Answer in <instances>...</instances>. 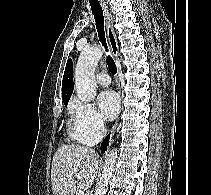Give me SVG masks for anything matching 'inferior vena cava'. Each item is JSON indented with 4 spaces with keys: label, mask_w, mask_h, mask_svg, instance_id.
Masks as SVG:
<instances>
[{
    "label": "inferior vena cava",
    "mask_w": 211,
    "mask_h": 195,
    "mask_svg": "<svg viewBox=\"0 0 211 195\" xmlns=\"http://www.w3.org/2000/svg\"><path fill=\"white\" fill-rule=\"evenodd\" d=\"M99 130L101 131V133H105V126H104V122L100 121L99 125H98Z\"/></svg>",
    "instance_id": "inferior-vena-cava-1"
}]
</instances>
